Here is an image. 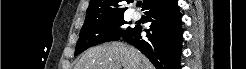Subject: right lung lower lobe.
Masks as SVG:
<instances>
[{
    "instance_id": "right-lung-lower-lobe-1",
    "label": "right lung lower lobe",
    "mask_w": 246,
    "mask_h": 69,
    "mask_svg": "<svg viewBox=\"0 0 246 69\" xmlns=\"http://www.w3.org/2000/svg\"><path fill=\"white\" fill-rule=\"evenodd\" d=\"M150 28L145 38L141 26L127 30L121 38L140 50L157 69H180L181 14L176 0H160L145 9Z\"/></svg>"
}]
</instances>
